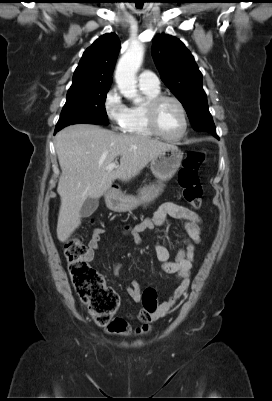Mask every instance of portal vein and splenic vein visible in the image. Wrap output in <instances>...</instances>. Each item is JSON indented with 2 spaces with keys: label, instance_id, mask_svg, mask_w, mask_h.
Listing matches in <instances>:
<instances>
[{
  "label": "portal vein and splenic vein",
  "instance_id": "portal-vein-and-splenic-vein-1",
  "mask_svg": "<svg viewBox=\"0 0 272 401\" xmlns=\"http://www.w3.org/2000/svg\"><path fill=\"white\" fill-rule=\"evenodd\" d=\"M117 167H118L117 163L113 162V163L109 164L108 166H106V170L107 171H112L113 169H115Z\"/></svg>",
  "mask_w": 272,
  "mask_h": 401
}]
</instances>
